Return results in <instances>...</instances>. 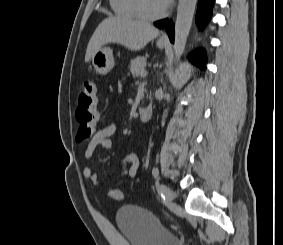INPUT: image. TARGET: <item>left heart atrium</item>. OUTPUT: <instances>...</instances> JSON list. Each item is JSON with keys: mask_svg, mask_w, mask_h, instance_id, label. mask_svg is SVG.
<instances>
[{"mask_svg": "<svg viewBox=\"0 0 283 245\" xmlns=\"http://www.w3.org/2000/svg\"><path fill=\"white\" fill-rule=\"evenodd\" d=\"M163 2L165 3V5H168L171 2V0H163Z\"/></svg>", "mask_w": 283, "mask_h": 245, "instance_id": "39dd6f15", "label": "left heart atrium"}]
</instances>
